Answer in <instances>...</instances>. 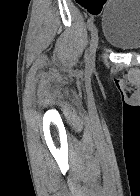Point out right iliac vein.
<instances>
[{"instance_id": "63e3f726", "label": "right iliac vein", "mask_w": 140, "mask_h": 196, "mask_svg": "<svg viewBox=\"0 0 140 196\" xmlns=\"http://www.w3.org/2000/svg\"><path fill=\"white\" fill-rule=\"evenodd\" d=\"M98 42H99V34L98 30L95 26L92 27L91 29V44L90 48L88 51V54L85 56L86 64L90 66V64L93 63L94 57H95V52L98 48Z\"/></svg>"}]
</instances>
